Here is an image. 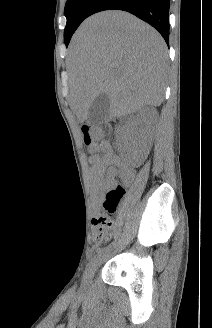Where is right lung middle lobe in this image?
Instances as JSON below:
<instances>
[{"mask_svg": "<svg viewBox=\"0 0 212 328\" xmlns=\"http://www.w3.org/2000/svg\"><path fill=\"white\" fill-rule=\"evenodd\" d=\"M96 0H67L65 5V16L67 24L64 30V40L66 46L81 24V22L88 17V12Z\"/></svg>", "mask_w": 212, "mask_h": 328, "instance_id": "right-lung-middle-lobe-1", "label": "right lung middle lobe"}]
</instances>
